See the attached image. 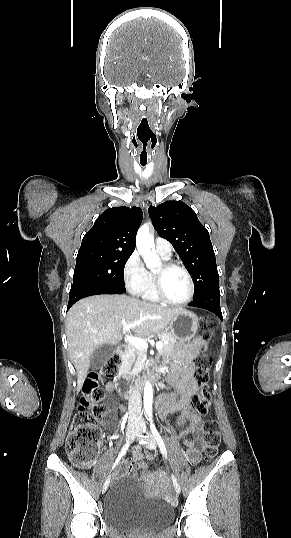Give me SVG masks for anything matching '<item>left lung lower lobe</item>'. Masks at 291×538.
Wrapping results in <instances>:
<instances>
[{
  "mask_svg": "<svg viewBox=\"0 0 291 538\" xmlns=\"http://www.w3.org/2000/svg\"><path fill=\"white\" fill-rule=\"evenodd\" d=\"M189 306L199 307L209 310L216 314L222 320V312L220 308V291L219 288L213 289L202 297L193 300Z\"/></svg>",
  "mask_w": 291,
  "mask_h": 538,
  "instance_id": "1",
  "label": "left lung lower lobe"
}]
</instances>
